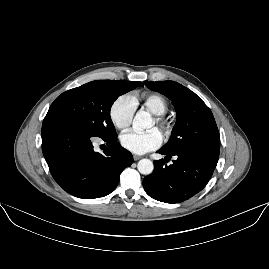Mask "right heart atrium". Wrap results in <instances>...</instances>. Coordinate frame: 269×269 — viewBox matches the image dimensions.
I'll use <instances>...</instances> for the list:
<instances>
[{
    "instance_id": "d8ad5b80",
    "label": "right heart atrium",
    "mask_w": 269,
    "mask_h": 269,
    "mask_svg": "<svg viewBox=\"0 0 269 269\" xmlns=\"http://www.w3.org/2000/svg\"><path fill=\"white\" fill-rule=\"evenodd\" d=\"M109 119L116 129L124 130L131 125L135 115V101L129 94L118 96L110 105Z\"/></svg>"
}]
</instances>
